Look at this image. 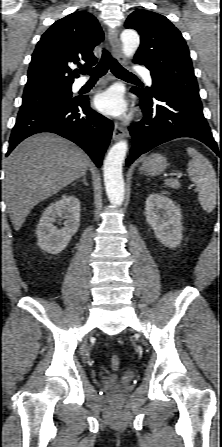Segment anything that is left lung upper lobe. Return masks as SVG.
Segmentation results:
<instances>
[{"label": "left lung upper lobe", "mask_w": 222, "mask_h": 447, "mask_svg": "<svg viewBox=\"0 0 222 447\" xmlns=\"http://www.w3.org/2000/svg\"><path fill=\"white\" fill-rule=\"evenodd\" d=\"M125 27L141 35L133 61L145 65L152 75V87L141 90L143 93L151 95L159 83H165L200 99L189 49L180 31L165 16L136 10Z\"/></svg>", "instance_id": "obj_1"}]
</instances>
